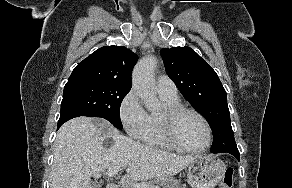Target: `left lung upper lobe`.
Masks as SVG:
<instances>
[{
  "instance_id": "1",
  "label": "left lung upper lobe",
  "mask_w": 292,
  "mask_h": 188,
  "mask_svg": "<svg viewBox=\"0 0 292 188\" xmlns=\"http://www.w3.org/2000/svg\"><path fill=\"white\" fill-rule=\"evenodd\" d=\"M166 73L182 95L208 121L212 153L237 148L230 122L226 91L216 72L190 47L162 49Z\"/></svg>"
}]
</instances>
